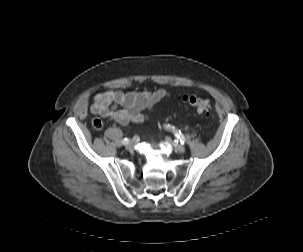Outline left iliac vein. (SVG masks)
<instances>
[{"label": "left iliac vein", "instance_id": "obj_1", "mask_svg": "<svg viewBox=\"0 0 303 252\" xmlns=\"http://www.w3.org/2000/svg\"><path fill=\"white\" fill-rule=\"evenodd\" d=\"M166 142L172 144V146L178 153H184L185 148L183 145L179 144L178 142H172L171 139L168 137L166 138Z\"/></svg>", "mask_w": 303, "mask_h": 252}]
</instances>
